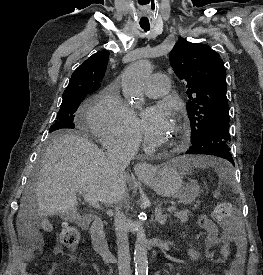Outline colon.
<instances>
[{
    "instance_id": "colon-1",
    "label": "colon",
    "mask_w": 263,
    "mask_h": 275,
    "mask_svg": "<svg viewBox=\"0 0 263 275\" xmlns=\"http://www.w3.org/2000/svg\"><path fill=\"white\" fill-rule=\"evenodd\" d=\"M232 216L233 210L227 203H219L213 212V218L225 226L231 225ZM60 240L65 247L75 249L80 242V233L74 226L65 224L60 231ZM221 253L226 257L228 255V247L224 246ZM207 274L208 273H205L203 275ZM225 275H240V268L237 266L231 267L226 271Z\"/></svg>"
}]
</instances>
